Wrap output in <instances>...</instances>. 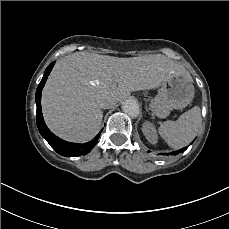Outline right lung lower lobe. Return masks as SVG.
Masks as SVG:
<instances>
[{
  "label": "right lung lower lobe",
  "instance_id": "1",
  "mask_svg": "<svg viewBox=\"0 0 229 229\" xmlns=\"http://www.w3.org/2000/svg\"><path fill=\"white\" fill-rule=\"evenodd\" d=\"M55 64V61L52 62L45 70V73L43 75V78L41 82L39 83L37 90H36V105H37V112H36V122L37 127L40 132V134L43 136V138L46 139V141L51 145V147L60 155L62 156H80V155H86L88 154L92 148L96 145L97 140L100 137L101 131L99 134L90 142L84 143V144H78V143H70L67 141H64L60 138H58L56 135H54L46 126L42 111H41V92L45 85V82L48 78V75L50 74L53 66Z\"/></svg>",
  "mask_w": 229,
  "mask_h": 229
}]
</instances>
